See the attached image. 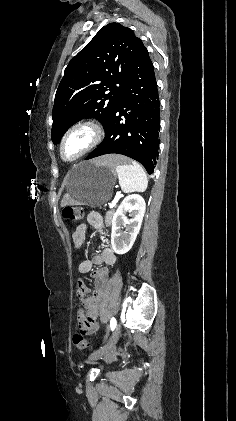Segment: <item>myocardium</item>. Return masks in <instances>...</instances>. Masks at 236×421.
<instances>
[{
	"label": "myocardium",
	"instance_id": "1",
	"mask_svg": "<svg viewBox=\"0 0 236 421\" xmlns=\"http://www.w3.org/2000/svg\"><path fill=\"white\" fill-rule=\"evenodd\" d=\"M78 131L87 132L89 135V140L85 148L76 156V158L68 163L77 162L78 160L89 154L91 151H93L98 145H100V143L104 139V129L99 123L88 120L74 124L63 134L59 143V157L63 162H67L63 159L62 155L65 141L68 139L69 136Z\"/></svg>",
	"mask_w": 236,
	"mask_h": 421
}]
</instances>
